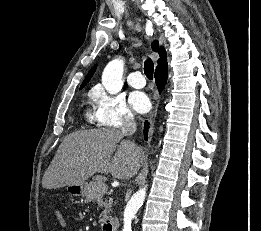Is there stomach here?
<instances>
[{"instance_id": "0dacf381", "label": "stomach", "mask_w": 261, "mask_h": 231, "mask_svg": "<svg viewBox=\"0 0 261 231\" xmlns=\"http://www.w3.org/2000/svg\"><path fill=\"white\" fill-rule=\"evenodd\" d=\"M86 184H75L67 187L68 192L73 196H84L86 191Z\"/></svg>"}]
</instances>
